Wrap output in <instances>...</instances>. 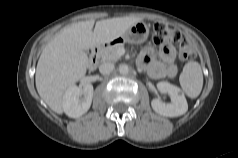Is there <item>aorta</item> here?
<instances>
[{"label": "aorta", "mask_w": 238, "mask_h": 158, "mask_svg": "<svg viewBox=\"0 0 238 158\" xmlns=\"http://www.w3.org/2000/svg\"><path fill=\"white\" fill-rule=\"evenodd\" d=\"M119 73L122 75H126L129 73V67L125 64L119 66Z\"/></svg>", "instance_id": "762f6f07"}]
</instances>
